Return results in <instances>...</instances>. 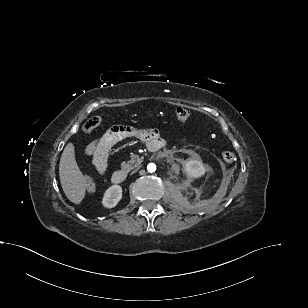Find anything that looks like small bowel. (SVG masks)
I'll list each match as a JSON object with an SVG mask.
<instances>
[{
  "label": "small bowel",
  "mask_w": 308,
  "mask_h": 308,
  "mask_svg": "<svg viewBox=\"0 0 308 308\" xmlns=\"http://www.w3.org/2000/svg\"><path fill=\"white\" fill-rule=\"evenodd\" d=\"M135 136L149 143L160 139L159 133L154 128L134 129L127 126H114L101 137L92 141L86 148V154L92 158V163L97 171L104 174L108 167V154L111 148L119 141Z\"/></svg>",
  "instance_id": "1"
}]
</instances>
